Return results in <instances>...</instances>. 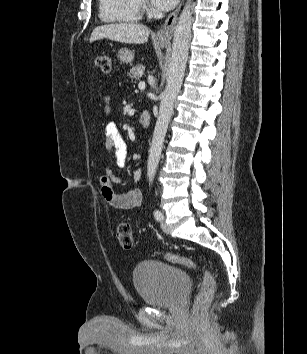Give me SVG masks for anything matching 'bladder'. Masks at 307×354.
I'll return each mask as SVG.
<instances>
[{
    "label": "bladder",
    "mask_w": 307,
    "mask_h": 354,
    "mask_svg": "<svg viewBox=\"0 0 307 354\" xmlns=\"http://www.w3.org/2000/svg\"><path fill=\"white\" fill-rule=\"evenodd\" d=\"M132 279L142 301L158 307H177L192 285L187 272L157 260L138 263Z\"/></svg>",
    "instance_id": "bladder-1"
}]
</instances>
